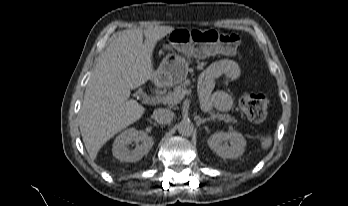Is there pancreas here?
Instances as JSON below:
<instances>
[{
    "label": "pancreas",
    "instance_id": "pancreas-1",
    "mask_svg": "<svg viewBox=\"0 0 348 206\" xmlns=\"http://www.w3.org/2000/svg\"><path fill=\"white\" fill-rule=\"evenodd\" d=\"M190 80L186 79L184 82L180 83L178 86L174 87V91L173 92H181L183 90H186L188 86H190ZM210 115V119L212 120H220V121H224L225 123H236L237 120L232 117L229 114H220V113H215L213 111L209 112Z\"/></svg>",
    "mask_w": 348,
    "mask_h": 206
}]
</instances>
